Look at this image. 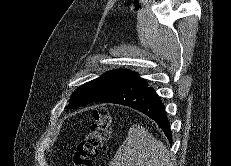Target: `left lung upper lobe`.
<instances>
[{
	"mask_svg": "<svg viewBox=\"0 0 231 166\" xmlns=\"http://www.w3.org/2000/svg\"><path fill=\"white\" fill-rule=\"evenodd\" d=\"M136 75L127 69L107 71L78 88L69 100V108H77L94 102L99 97L111 92Z\"/></svg>",
	"mask_w": 231,
	"mask_h": 166,
	"instance_id": "obj_1",
	"label": "left lung upper lobe"
}]
</instances>
